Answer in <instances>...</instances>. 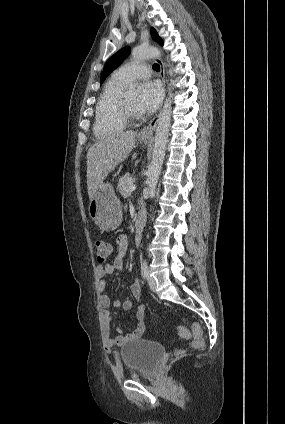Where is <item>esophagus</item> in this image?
Returning a JSON list of instances; mask_svg holds the SVG:
<instances>
[{"label":"esophagus","mask_w":285,"mask_h":424,"mask_svg":"<svg viewBox=\"0 0 285 424\" xmlns=\"http://www.w3.org/2000/svg\"><path fill=\"white\" fill-rule=\"evenodd\" d=\"M156 61L160 66V77L162 79V83H163V87H164V91H165L166 82H165L164 65H163V62L161 61V59L159 57L156 58ZM158 118H159V114H157L148 123L147 126H145L143 129H141V131L139 132V136L140 137H151L153 135L154 131H155L156 126H157Z\"/></svg>","instance_id":"obj_1"}]
</instances>
